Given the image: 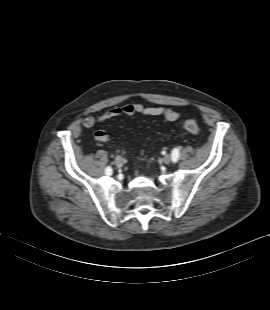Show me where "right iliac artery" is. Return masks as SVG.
<instances>
[{"mask_svg":"<svg viewBox=\"0 0 270 310\" xmlns=\"http://www.w3.org/2000/svg\"><path fill=\"white\" fill-rule=\"evenodd\" d=\"M112 168L110 167V166H108L107 168H106V174H108V175H111L112 174Z\"/></svg>","mask_w":270,"mask_h":310,"instance_id":"1","label":"right iliac artery"}]
</instances>
